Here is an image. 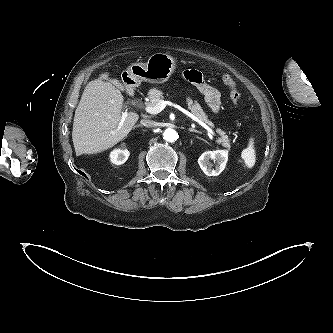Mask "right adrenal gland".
<instances>
[{
  "label": "right adrenal gland",
  "instance_id": "1",
  "mask_svg": "<svg viewBox=\"0 0 333 333\" xmlns=\"http://www.w3.org/2000/svg\"><path fill=\"white\" fill-rule=\"evenodd\" d=\"M136 127H141V125H135V126L133 127V129H135Z\"/></svg>",
  "mask_w": 333,
  "mask_h": 333
}]
</instances>
